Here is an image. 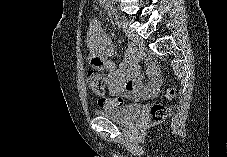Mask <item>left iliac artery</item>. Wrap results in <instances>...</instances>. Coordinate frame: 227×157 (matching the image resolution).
Listing matches in <instances>:
<instances>
[{
	"label": "left iliac artery",
	"instance_id": "1",
	"mask_svg": "<svg viewBox=\"0 0 227 157\" xmlns=\"http://www.w3.org/2000/svg\"><path fill=\"white\" fill-rule=\"evenodd\" d=\"M118 27H123L124 28V23L120 20L117 21Z\"/></svg>",
	"mask_w": 227,
	"mask_h": 157
}]
</instances>
